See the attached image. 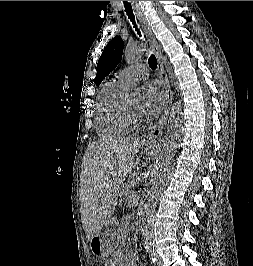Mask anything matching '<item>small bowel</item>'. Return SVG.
<instances>
[{
    "label": "small bowel",
    "mask_w": 253,
    "mask_h": 266,
    "mask_svg": "<svg viewBox=\"0 0 253 266\" xmlns=\"http://www.w3.org/2000/svg\"><path fill=\"white\" fill-rule=\"evenodd\" d=\"M104 266H137V263L132 255L117 251L104 263Z\"/></svg>",
    "instance_id": "obj_1"
}]
</instances>
